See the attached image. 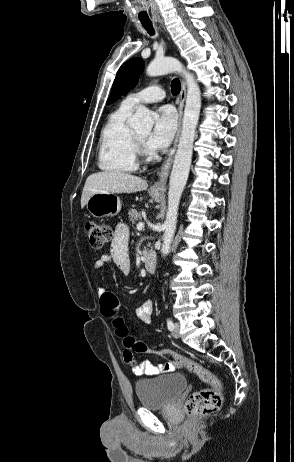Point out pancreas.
<instances>
[{
  "mask_svg": "<svg viewBox=\"0 0 294 462\" xmlns=\"http://www.w3.org/2000/svg\"><path fill=\"white\" fill-rule=\"evenodd\" d=\"M128 215L129 220L132 222V224H136L137 222L139 223L141 220V213L136 211L135 209L129 210Z\"/></svg>",
  "mask_w": 294,
  "mask_h": 462,
  "instance_id": "1",
  "label": "pancreas"
}]
</instances>
